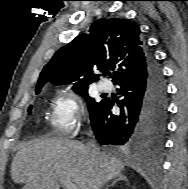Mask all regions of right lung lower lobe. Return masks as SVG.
<instances>
[{
  "label": "right lung lower lobe",
  "mask_w": 188,
  "mask_h": 189,
  "mask_svg": "<svg viewBox=\"0 0 188 189\" xmlns=\"http://www.w3.org/2000/svg\"><path fill=\"white\" fill-rule=\"evenodd\" d=\"M121 112H111L113 102L103 99L91 117L100 144L125 145L135 150L160 149L167 126V92L162 71L150 53L146 70L116 84Z\"/></svg>",
  "instance_id": "obj_1"
}]
</instances>
